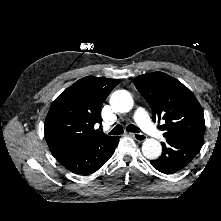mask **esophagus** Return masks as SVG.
Returning a JSON list of instances; mask_svg holds the SVG:
<instances>
[{"mask_svg":"<svg viewBox=\"0 0 221 221\" xmlns=\"http://www.w3.org/2000/svg\"><path fill=\"white\" fill-rule=\"evenodd\" d=\"M129 135L132 136L138 142H143L147 138L146 135L140 133H130Z\"/></svg>","mask_w":221,"mask_h":221,"instance_id":"34e87169","label":"esophagus"}]
</instances>
